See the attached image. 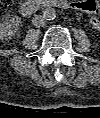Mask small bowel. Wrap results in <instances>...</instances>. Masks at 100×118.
Segmentation results:
<instances>
[{
	"label": "small bowel",
	"instance_id": "obj_1",
	"mask_svg": "<svg viewBox=\"0 0 100 118\" xmlns=\"http://www.w3.org/2000/svg\"><path fill=\"white\" fill-rule=\"evenodd\" d=\"M86 2H88V1H80V2H78V7L79 8H81L82 10H84V11H87L85 8H84V6H82V4L83 3H86ZM88 13H90V14H92V17H94V14L93 13H91L90 11H87ZM97 17H98V15H97ZM99 20V19H98ZM99 23V22H98Z\"/></svg>",
	"mask_w": 100,
	"mask_h": 118
}]
</instances>
